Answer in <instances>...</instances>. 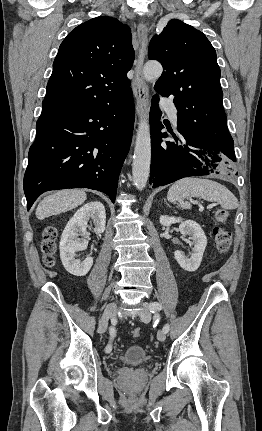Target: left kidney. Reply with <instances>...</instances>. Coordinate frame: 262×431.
<instances>
[{
    "instance_id": "1",
    "label": "left kidney",
    "mask_w": 262,
    "mask_h": 431,
    "mask_svg": "<svg viewBox=\"0 0 262 431\" xmlns=\"http://www.w3.org/2000/svg\"><path fill=\"white\" fill-rule=\"evenodd\" d=\"M174 223H180L179 231L182 235H188L193 241L194 247L192 248L191 256L188 258L180 251H175L174 256L181 268L186 271H196L202 261L203 253L207 246L206 235L201 226L193 220H183L182 218L161 216L160 224L168 226Z\"/></svg>"
}]
</instances>
